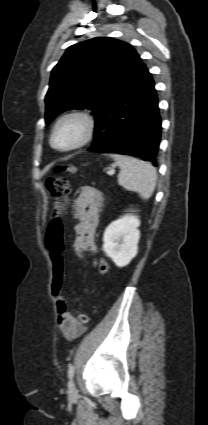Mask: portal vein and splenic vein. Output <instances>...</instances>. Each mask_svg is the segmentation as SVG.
<instances>
[{"instance_id":"1","label":"portal vein and splenic vein","mask_w":208,"mask_h":425,"mask_svg":"<svg viewBox=\"0 0 208 425\" xmlns=\"http://www.w3.org/2000/svg\"><path fill=\"white\" fill-rule=\"evenodd\" d=\"M114 173H115V171L112 169V170H109L108 172H107V174L109 175V176H112V175H114Z\"/></svg>"}]
</instances>
